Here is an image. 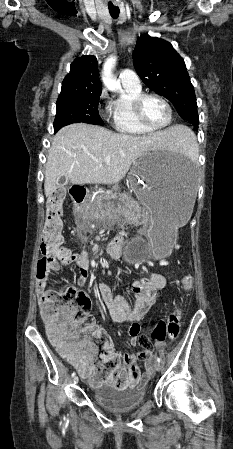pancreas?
<instances>
[{
    "label": "pancreas",
    "instance_id": "cf45deb5",
    "mask_svg": "<svg viewBox=\"0 0 233 449\" xmlns=\"http://www.w3.org/2000/svg\"><path fill=\"white\" fill-rule=\"evenodd\" d=\"M118 197H120L121 199L130 200V197H128L126 194H119L118 196L117 195L96 196L94 201L87 207L88 219L93 220L98 218L100 219L114 218L121 209L116 208L114 203L110 202L109 200L116 199ZM131 217L132 220L138 224H146L148 222V212L139 207L133 210V212L131 213Z\"/></svg>",
    "mask_w": 233,
    "mask_h": 449
}]
</instances>
